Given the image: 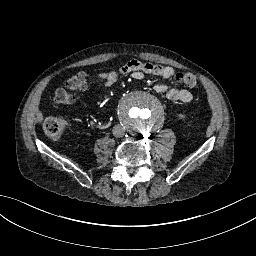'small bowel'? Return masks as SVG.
Segmentation results:
<instances>
[{"instance_id": "c3829d8e", "label": "small bowel", "mask_w": 256, "mask_h": 256, "mask_svg": "<svg viewBox=\"0 0 256 256\" xmlns=\"http://www.w3.org/2000/svg\"><path fill=\"white\" fill-rule=\"evenodd\" d=\"M176 71L171 66L143 63L133 59L125 63L119 70L101 71L97 74L99 84L103 87L113 86L119 79L120 74H132L136 79H141L144 74L160 77L163 81L174 78ZM155 91L164 94L168 100L190 102L192 94L186 89H168L164 82L155 85Z\"/></svg>"}]
</instances>
